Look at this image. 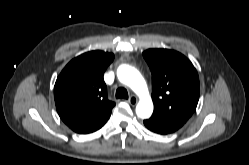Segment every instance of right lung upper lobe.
I'll use <instances>...</instances> for the list:
<instances>
[{
    "mask_svg": "<svg viewBox=\"0 0 249 165\" xmlns=\"http://www.w3.org/2000/svg\"><path fill=\"white\" fill-rule=\"evenodd\" d=\"M114 55L91 51L71 60L54 87L57 112L74 132L86 134L100 129L115 103L108 100L103 74Z\"/></svg>",
    "mask_w": 249,
    "mask_h": 165,
    "instance_id": "obj_1",
    "label": "right lung upper lobe"
}]
</instances>
